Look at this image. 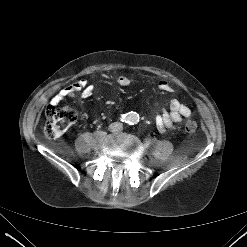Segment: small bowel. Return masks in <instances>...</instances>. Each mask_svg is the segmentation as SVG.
Here are the masks:
<instances>
[{"label": "small bowel", "mask_w": 247, "mask_h": 247, "mask_svg": "<svg viewBox=\"0 0 247 247\" xmlns=\"http://www.w3.org/2000/svg\"><path fill=\"white\" fill-rule=\"evenodd\" d=\"M106 78L109 76L105 75ZM115 81L119 86L126 87L131 83L130 78L124 75H119L115 77ZM158 88L164 92H173L172 86L165 80L158 82ZM78 92H81L82 97L88 98L93 93V86L88 85L86 80L82 79L73 84H70L60 90L52 98V103L58 104L66 98L74 97ZM191 116V110L188 106L181 103L177 99L170 101L168 110H164L162 114L156 116L155 122L160 131H164L166 128H170L174 123L182 121L184 118Z\"/></svg>", "instance_id": "obj_1"}]
</instances>
